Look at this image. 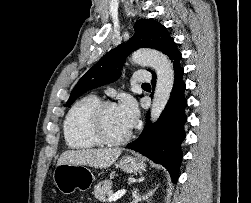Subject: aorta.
Listing matches in <instances>:
<instances>
[{
	"label": "aorta",
	"mask_w": 251,
	"mask_h": 203,
	"mask_svg": "<svg viewBox=\"0 0 251 203\" xmlns=\"http://www.w3.org/2000/svg\"><path fill=\"white\" fill-rule=\"evenodd\" d=\"M132 61L141 66L152 67L157 74V82L151 107V120L155 122L164 110L173 88L174 71L168 57L153 49H140L133 53Z\"/></svg>",
	"instance_id": "aorta-1"
}]
</instances>
